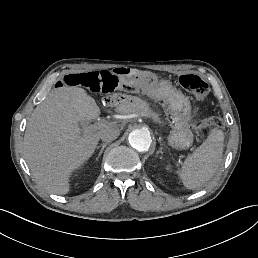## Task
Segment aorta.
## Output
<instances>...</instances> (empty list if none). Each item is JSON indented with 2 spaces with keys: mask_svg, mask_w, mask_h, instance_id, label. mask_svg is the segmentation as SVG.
<instances>
[{
  "mask_svg": "<svg viewBox=\"0 0 258 258\" xmlns=\"http://www.w3.org/2000/svg\"><path fill=\"white\" fill-rule=\"evenodd\" d=\"M128 141L138 152L148 151L152 143L150 132L146 129H136L132 131L129 134Z\"/></svg>",
  "mask_w": 258,
  "mask_h": 258,
  "instance_id": "1",
  "label": "aorta"
}]
</instances>
